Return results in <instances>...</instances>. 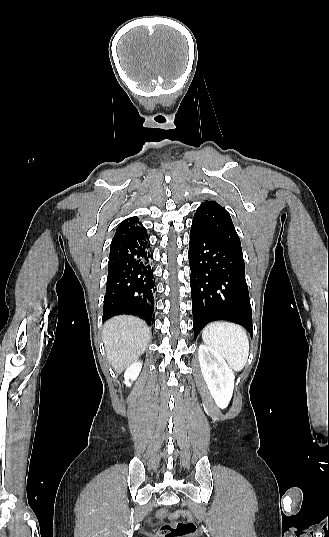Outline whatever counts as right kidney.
I'll list each match as a JSON object with an SVG mask.
<instances>
[{"label": "right kidney", "instance_id": "1", "mask_svg": "<svg viewBox=\"0 0 329 537\" xmlns=\"http://www.w3.org/2000/svg\"><path fill=\"white\" fill-rule=\"evenodd\" d=\"M141 368H142V363L140 361H135L127 367L124 373V379H125L124 383L127 386L131 385L129 380L134 381L137 379L141 371Z\"/></svg>", "mask_w": 329, "mask_h": 537}]
</instances>
